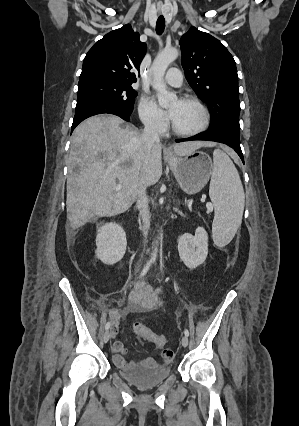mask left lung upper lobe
<instances>
[{"label": "left lung upper lobe", "mask_w": 299, "mask_h": 426, "mask_svg": "<svg viewBox=\"0 0 299 426\" xmlns=\"http://www.w3.org/2000/svg\"><path fill=\"white\" fill-rule=\"evenodd\" d=\"M185 77L210 108L209 130L240 134L239 89L235 61L226 47L195 27L180 39Z\"/></svg>", "instance_id": "1"}]
</instances>
